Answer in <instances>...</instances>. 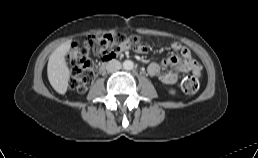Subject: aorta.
Segmentation results:
<instances>
[{"label":"aorta","mask_w":258,"mask_h":158,"mask_svg":"<svg viewBox=\"0 0 258 158\" xmlns=\"http://www.w3.org/2000/svg\"><path fill=\"white\" fill-rule=\"evenodd\" d=\"M133 67H134V63H133L131 60H125V61L123 62V68H124L125 70H132Z\"/></svg>","instance_id":"obj_1"}]
</instances>
